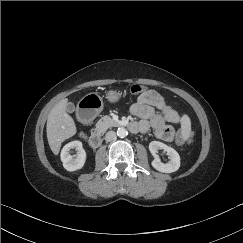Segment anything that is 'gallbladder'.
I'll return each instance as SVG.
<instances>
[{
    "label": "gallbladder",
    "mask_w": 243,
    "mask_h": 243,
    "mask_svg": "<svg viewBox=\"0 0 243 243\" xmlns=\"http://www.w3.org/2000/svg\"><path fill=\"white\" fill-rule=\"evenodd\" d=\"M66 111L68 113H73L75 111V105L72 102H68L66 105Z\"/></svg>",
    "instance_id": "bac80fb5"
}]
</instances>
